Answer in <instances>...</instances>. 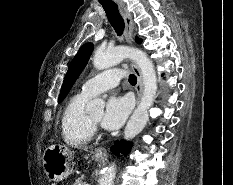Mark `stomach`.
Instances as JSON below:
<instances>
[{"mask_svg": "<svg viewBox=\"0 0 233 185\" xmlns=\"http://www.w3.org/2000/svg\"><path fill=\"white\" fill-rule=\"evenodd\" d=\"M42 159L44 172L51 181H62L73 172V153L67 147L51 145L44 151ZM93 159L102 161L105 157L94 154Z\"/></svg>", "mask_w": 233, "mask_h": 185, "instance_id": "obj_1", "label": "stomach"}]
</instances>
